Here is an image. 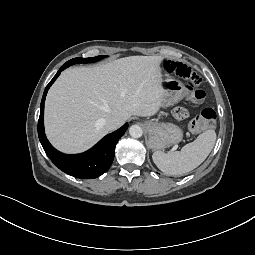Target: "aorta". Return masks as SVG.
Returning <instances> with one entry per match:
<instances>
[{
  "label": "aorta",
  "mask_w": 255,
  "mask_h": 255,
  "mask_svg": "<svg viewBox=\"0 0 255 255\" xmlns=\"http://www.w3.org/2000/svg\"><path fill=\"white\" fill-rule=\"evenodd\" d=\"M129 134L133 138H140L143 134V130L139 125H132L129 128Z\"/></svg>",
  "instance_id": "762f6f07"
}]
</instances>
